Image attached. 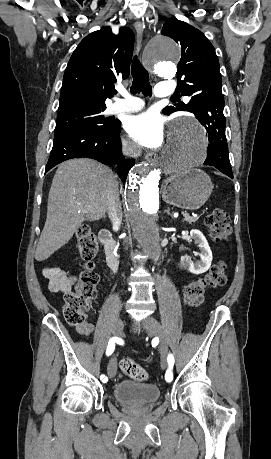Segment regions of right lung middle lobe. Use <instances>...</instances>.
Segmentation results:
<instances>
[{"label": "right lung middle lobe", "instance_id": "right-lung-middle-lobe-1", "mask_svg": "<svg viewBox=\"0 0 271 459\" xmlns=\"http://www.w3.org/2000/svg\"><path fill=\"white\" fill-rule=\"evenodd\" d=\"M106 107L82 106L58 111L55 135L77 128L109 129L118 120L106 118L102 114Z\"/></svg>", "mask_w": 271, "mask_h": 459}]
</instances>
